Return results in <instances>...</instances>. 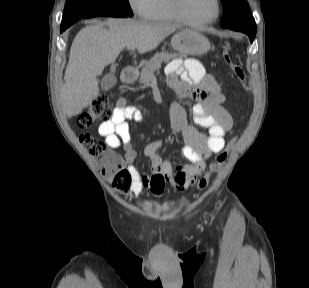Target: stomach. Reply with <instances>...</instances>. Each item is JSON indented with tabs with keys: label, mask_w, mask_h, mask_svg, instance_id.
I'll list each match as a JSON object with an SVG mask.
<instances>
[{
	"label": "stomach",
	"mask_w": 309,
	"mask_h": 288,
	"mask_svg": "<svg viewBox=\"0 0 309 288\" xmlns=\"http://www.w3.org/2000/svg\"><path fill=\"white\" fill-rule=\"evenodd\" d=\"M171 46L184 57L197 56L209 51L210 42L198 31L182 29L171 38Z\"/></svg>",
	"instance_id": "0dacf381"
}]
</instances>
